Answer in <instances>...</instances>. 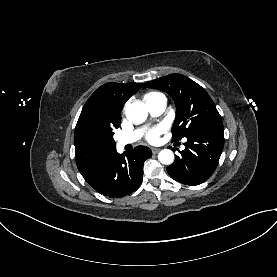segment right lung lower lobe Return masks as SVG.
<instances>
[{
  "mask_svg": "<svg viewBox=\"0 0 277 277\" xmlns=\"http://www.w3.org/2000/svg\"><path fill=\"white\" fill-rule=\"evenodd\" d=\"M152 156L146 146H138L119 155L116 148L80 171L84 179L100 194L118 198L136 191L142 183L143 164Z\"/></svg>",
  "mask_w": 277,
  "mask_h": 277,
  "instance_id": "1",
  "label": "right lung lower lobe"
}]
</instances>
